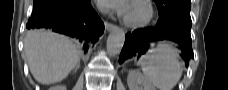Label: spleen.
Masks as SVG:
<instances>
[{
	"label": "spleen",
	"mask_w": 228,
	"mask_h": 90,
	"mask_svg": "<svg viewBox=\"0 0 228 90\" xmlns=\"http://www.w3.org/2000/svg\"><path fill=\"white\" fill-rule=\"evenodd\" d=\"M146 79L159 90H172L182 76L177 50L169 43H161L141 63Z\"/></svg>",
	"instance_id": "spleen-1"
}]
</instances>
